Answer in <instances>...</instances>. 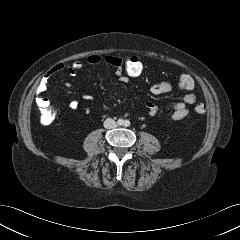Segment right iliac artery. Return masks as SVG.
Returning a JSON list of instances; mask_svg holds the SVG:
<instances>
[{
  "label": "right iliac artery",
  "mask_w": 240,
  "mask_h": 240,
  "mask_svg": "<svg viewBox=\"0 0 240 240\" xmlns=\"http://www.w3.org/2000/svg\"><path fill=\"white\" fill-rule=\"evenodd\" d=\"M117 123H118V125H122V124L124 123V121H123L122 119H119V120L117 121Z\"/></svg>",
  "instance_id": "right-iliac-artery-1"
}]
</instances>
